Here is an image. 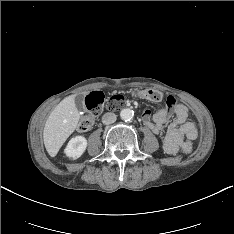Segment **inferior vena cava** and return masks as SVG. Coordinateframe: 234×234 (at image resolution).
<instances>
[{"label":"inferior vena cava","mask_w":234,"mask_h":234,"mask_svg":"<svg viewBox=\"0 0 234 234\" xmlns=\"http://www.w3.org/2000/svg\"><path fill=\"white\" fill-rule=\"evenodd\" d=\"M117 117L114 113H111V112H108V113H105L102 117V122L103 124H112L116 121Z\"/></svg>","instance_id":"602c4592"}]
</instances>
